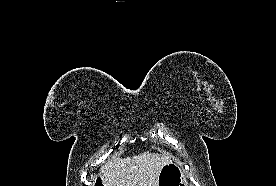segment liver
<instances>
[{
	"label": "liver",
	"instance_id": "6515ba94",
	"mask_svg": "<svg viewBox=\"0 0 276 186\" xmlns=\"http://www.w3.org/2000/svg\"><path fill=\"white\" fill-rule=\"evenodd\" d=\"M167 154L146 151L126 158L115 157L100 169V180L104 186H158L162 167L170 163Z\"/></svg>",
	"mask_w": 276,
	"mask_h": 186
}]
</instances>
